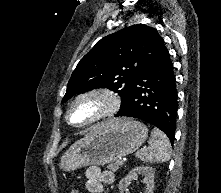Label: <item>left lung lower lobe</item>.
I'll use <instances>...</instances> for the list:
<instances>
[{
  "label": "left lung lower lobe",
  "mask_w": 221,
  "mask_h": 193,
  "mask_svg": "<svg viewBox=\"0 0 221 193\" xmlns=\"http://www.w3.org/2000/svg\"><path fill=\"white\" fill-rule=\"evenodd\" d=\"M177 88L174 67L167 49L134 80L128 98L116 116L146 121L168 136L173 144L177 117Z\"/></svg>",
  "instance_id": "1"
}]
</instances>
